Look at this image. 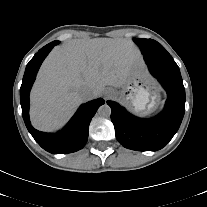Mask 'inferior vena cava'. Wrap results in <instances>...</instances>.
Returning <instances> with one entry per match:
<instances>
[{"instance_id": "obj_1", "label": "inferior vena cava", "mask_w": 207, "mask_h": 207, "mask_svg": "<svg viewBox=\"0 0 207 207\" xmlns=\"http://www.w3.org/2000/svg\"><path fill=\"white\" fill-rule=\"evenodd\" d=\"M80 95L84 99H88L91 96V90L89 88H81L79 91Z\"/></svg>"}]
</instances>
